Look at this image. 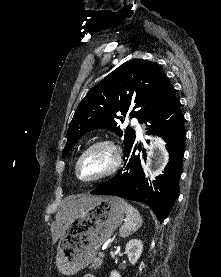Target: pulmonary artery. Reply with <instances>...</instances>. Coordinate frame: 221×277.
I'll return each instance as SVG.
<instances>
[{
  "label": "pulmonary artery",
  "instance_id": "e3ab8cb5",
  "mask_svg": "<svg viewBox=\"0 0 221 277\" xmlns=\"http://www.w3.org/2000/svg\"><path fill=\"white\" fill-rule=\"evenodd\" d=\"M134 123L137 125V132L140 134L141 133V127L137 124V122L134 120Z\"/></svg>",
  "mask_w": 221,
  "mask_h": 277
}]
</instances>
